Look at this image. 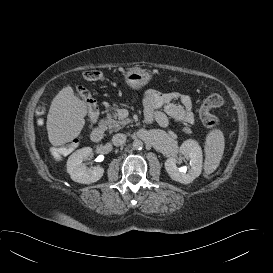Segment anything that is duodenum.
Wrapping results in <instances>:
<instances>
[{"instance_id": "obj_1", "label": "duodenum", "mask_w": 273, "mask_h": 273, "mask_svg": "<svg viewBox=\"0 0 273 273\" xmlns=\"http://www.w3.org/2000/svg\"><path fill=\"white\" fill-rule=\"evenodd\" d=\"M105 123L100 122L92 131L91 138L94 142H100L105 134Z\"/></svg>"}]
</instances>
